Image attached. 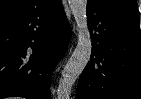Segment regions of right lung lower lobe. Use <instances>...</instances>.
Wrapping results in <instances>:
<instances>
[{
	"instance_id": "right-lung-lower-lobe-1",
	"label": "right lung lower lobe",
	"mask_w": 141,
	"mask_h": 99,
	"mask_svg": "<svg viewBox=\"0 0 141 99\" xmlns=\"http://www.w3.org/2000/svg\"><path fill=\"white\" fill-rule=\"evenodd\" d=\"M70 37L61 0L0 17V99H50V76Z\"/></svg>"
}]
</instances>
